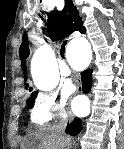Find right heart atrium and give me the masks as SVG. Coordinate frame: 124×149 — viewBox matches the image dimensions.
I'll use <instances>...</instances> for the list:
<instances>
[{
	"mask_svg": "<svg viewBox=\"0 0 124 149\" xmlns=\"http://www.w3.org/2000/svg\"><path fill=\"white\" fill-rule=\"evenodd\" d=\"M64 105V101H58L54 96L40 94L33 103L30 121L36 126L47 125L54 116H63L65 114Z\"/></svg>",
	"mask_w": 124,
	"mask_h": 149,
	"instance_id": "1",
	"label": "right heart atrium"
}]
</instances>
